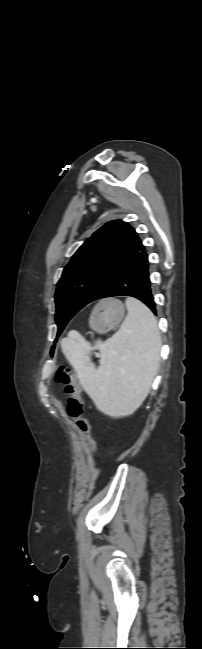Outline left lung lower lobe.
<instances>
[{
  "instance_id": "1",
  "label": "left lung lower lobe",
  "mask_w": 202,
  "mask_h": 649,
  "mask_svg": "<svg viewBox=\"0 0 202 649\" xmlns=\"http://www.w3.org/2000/svg\"><path fill=\"white\" fill-rule=\"evenodd\" d=\"M149 269L148 255L138 237L119 264L100 285L92 301L112 296H132L141 300L156 314Z\"/></svg>"
}]
</instances>
